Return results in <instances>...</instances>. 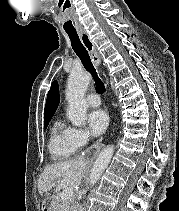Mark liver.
I'll return each instance as SVG.
<instances>
[{"label": "liver", "mask_w": 179, "mask_h": 211, "mask_svg": "<svg viewBox=\"0 0 179 211\" xmlns=\"http://www.w3.org/2000/svg\"><path fill=\"white\" fill-rule=\"evenodd\" d=\"M86 168V162L82 157L47 166L38 179L39 193L43 196L52 187H55L56 190L79 187ZM49 210L57 211L58 209L54 205Z\"/></svg>", "instance_id": "1"}]
</instances>
